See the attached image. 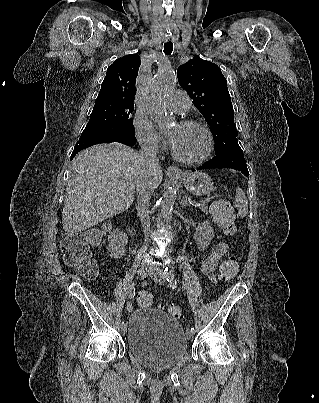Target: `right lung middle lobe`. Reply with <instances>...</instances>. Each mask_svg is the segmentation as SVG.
<instances>
[{"instance_id": "obj_1", "label": "right lung middle lobe", "mask_w": 319, "mask_h": 403, "mask_svg": "<svg viewBox=\"0 0 319 403\" xmlns=\"http://www.w3.org/2000/svg\"><path fill=\"white\" fill-rule=\"evenodd\" d=\"M134 105L121 103L95 102L87 128L101 125L121 126L134 132L133 119L129 115L133 112Z\"/></svg>"}]
</instances>
